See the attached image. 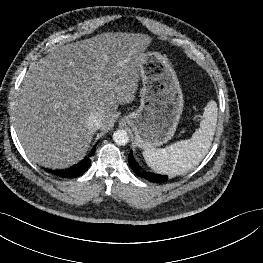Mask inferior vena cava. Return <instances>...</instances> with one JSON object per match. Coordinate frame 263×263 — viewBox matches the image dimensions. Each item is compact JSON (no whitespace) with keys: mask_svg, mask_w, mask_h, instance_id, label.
<instances>
[{"mask_svg":"<svg viewBox=\"0 0 263 263\" xmlns=\"http://www.w3.org/2000/svg\"><path fill=\"white\" fill-rule=\"evenodd\" d=\"M103 116L100 112L92 113L88 116L86 125L91 130H97L102 127Z\"/></svg>","mask_w":263,"mask_h":263,"instance_id":"obj_1","label":"inferior vena cava"}]
</instances>
